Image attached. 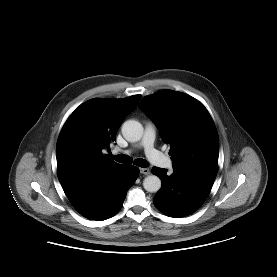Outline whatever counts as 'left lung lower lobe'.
Wrapping results in <instances>:
<instances>
[{"label": "left lung lower lobe", "mask_w": 277, "mask_h": 277, "mask_svg": "<svg viewBox=\"0 0 277 277\" xmlns=\"http://www.w3.org/2000/svg\"><path fill=\"white\" fill-rule=\"evenodd\" d=\"M152 173L162 182L161 189L153 198L154 205L170 217H184L195 212L210 193L216 176L175 172L153 167Z\"/></svg>", "instance_id": "1"}]
</instances>
